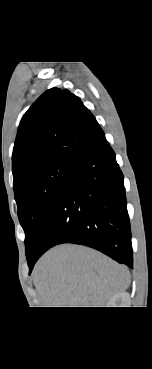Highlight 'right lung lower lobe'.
I'll return each mask as SVG.
<instances>
[{
  "label": "right lung lower lobe",
  "instance_id": "obj_1",
  "mask_svg": "<svg viewBox=\"0 0 152 369\" xmlns=\"http://www.w3.org/2000/svg\"><path fill=\"white\" fill-rule=\"evenodd\" d=\"M123 179L105 135L79 154L28 259L30 272L44 252L61 243L92 247L132 268Z\"/></svg>",
  "mask_w": 152,
  "mask_h": 369
}]
</instances>
